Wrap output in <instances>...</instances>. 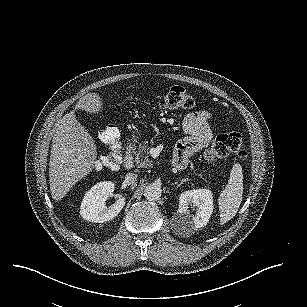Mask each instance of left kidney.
<instances>
[{
	"mask_svg": "<svg viewBox=\"0 0 307 307\" xmlns=\"http://www.w3.org/2000/svg\"><path fill=\"white\" fill-rule=\"evenodd\" d=\"M214 194L209 188H196L180 194L179 208L174 218L178 225L176 231L190 232L208 224L214 211ZM193 204L198 214H191L189 207Z\"/></svg>",
	"mask_w": 307,
	"mask_h": 307,
	"instance_id": "5707ae66",
	"label": "left kidney"
}]
</instances>
